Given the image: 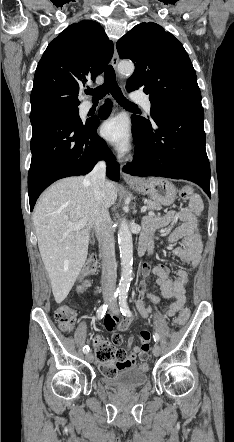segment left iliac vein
I'll use <instances>...</instances> for the list:
<instances>
[{
    "instance_id": "4c4485c4",
    "label": "left iliac vein",
    "mask_w": 234,
    "mask_h": 442,
    "mask_svg": "<svg viewBox=\"0 0 234 442\" xmlns=\"http://www.w3.org/2000/svg\"><path fill=\"white\" fill-rule=\"evenodd\" d=\"M111 309H112V311H113L115 314L118 313V308H117V305H116L115 303L112 304ZM152 352H153V355L156 356V357L160 355V353H161V348H160V346H159L157 343L154 344L153 349H152Z\"/></svg>"
}]
</instances>
